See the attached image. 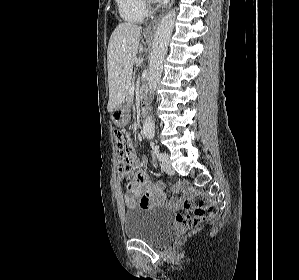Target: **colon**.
Listing matches in <instances>:
<instances>
[{
    "mask_svg": "<svg viewBox=\"0 0 299 280\" xmlns=\"http://www.w3.org/2000/svg\"><path fill=\"white\" fill-rule=\"evenodd\" d=\"M117 156L118 174L125 179L134 166L133 151L129 145L128 134L123 130L114 133ZM190 197L184 203V210L176 214V222L184 229L197 227L203 222L211 220L216 214V208L206 203L203 198L191 189H188Z\"/></svg>",
    "mask_w": 299,
    "mask_h": 280,
    "instance_id": "5ec220e1",
    "label": "colon"
}]
</instances>
